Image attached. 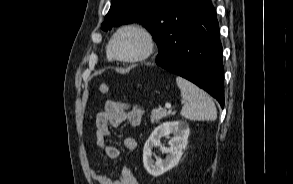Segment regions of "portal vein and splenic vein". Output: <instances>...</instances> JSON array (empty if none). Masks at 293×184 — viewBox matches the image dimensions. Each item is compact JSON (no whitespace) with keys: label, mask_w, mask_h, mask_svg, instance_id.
Wrapping results in <instances>:
<instances>
[{"label":"portal vein and splenic vein","mask_w":293,"mask_h":184,"mask_svg":"<svg viewBox=\"0 0 293 184\" xmlns=\"http://www.w3.org/2000/svg\"><path fill=\"white\" fill-rule=\"evenodd\" d=\"M165 108H166V109H171V108H172V106H171V104H170V103H166V104H165Z\"/></svg>","instance_id":"portal-vein-and-splenic-vein-1"}]
</instances>
